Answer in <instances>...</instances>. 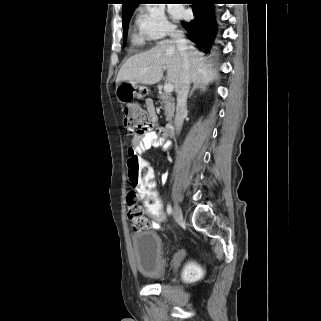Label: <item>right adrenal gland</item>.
<instances>
[{"label":"right adrenal gland","mask_w":321,"mask_h":321,"mask_svg":"<svg viewBox=\"0 0 321 321\" xmlns=\"http://www.w3.org/2000/svg\"><path fill=\"white\" fill-rule=\"evenodd\" d=\"M198 89L201 92H205L207 90V86L204 84H199V83H194L193 88L191 89L190 93H189V98L192 96L193 92Z\"/></svg>","instance_id":"2a0ac1e0"}]
</instances>
